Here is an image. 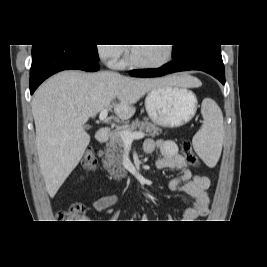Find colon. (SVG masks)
<instances>
[{"mask_svg":"<svg viewBox=\"0 0 267 267\" xmlns=\"http://www.w3.org/2000/svg\"><path fill=\"white\" fill-rule=\"evenodd\" d=\"M182 155L185 157L187 162L192 166H198L199 160L195 155L190 142L184 141L181 146ZM82 165L88 169H94L97 165V158L93 150L87 149L82 157ZM86 213V207L83 203L76 202L72 203L66 210L59 213L58 222L65 223H80L84 219Z\"/></svg>","mask_w":267,"mask_h":267,"instance_id":"5ec220e1","label":"colon"}]
</instances>
